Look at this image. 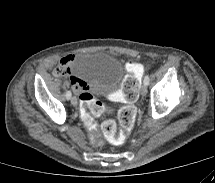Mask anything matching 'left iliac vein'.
<instances>
[{
	"mask_svg": "<svg viewBox=\"0 0 215 183\" xmlns=\"http://www.w3.org/2000/svg\"><path fill=\"white\" fill-rule=\"evenodd\" d=\"M141 95L145 96L147 93V85L143 84L140 90Z\"/></svg>",
	"mask_w": 215,
	"mask_h": 183,
	"instance_id": "1",
	"label": "left iliac vein"
}]
</instances>
